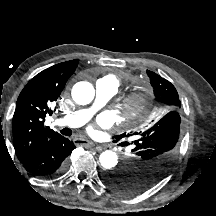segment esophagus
<instances>
[{
    "label": "esophagus",
    "instance_id": "1",
    "mask_svg": "<svg viewBox=\"0 0 216 216\" xmlns=\"http://www.w3.org/2000/svg\"><path fill=\"white\" fill-rule=\"evenodd\" d=\"M74 143L77 144V145H81V146H89V147H96L97 150H102V146L101 145H96L95 143L93 142H90L88 140H83V139H74Z\"/></svg>",
    "mask_w": 216,
    "mask_h": 216
}]
</instances>
